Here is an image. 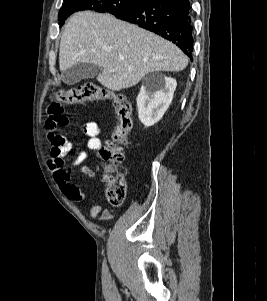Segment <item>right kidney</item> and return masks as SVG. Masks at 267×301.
Returning <instances> with one entry per match:
<instances>
[{"mask_svg": "<svg viewBox=\"0 0 267 301\" xmlns=\"http://www.w3.org/2000/svg\"><path fill=\"white\" fill-rule=\"evenodd\" d=\"M177 82L164 77L158 84L151 83L141 87L137 97L139 120L146 126L157 123L172 102Z\"/></svg>", "mask_w": 267, "mask_h": 301, "instance_id": "ca27d5eb", "label": "right kidney"}]
</instances>
